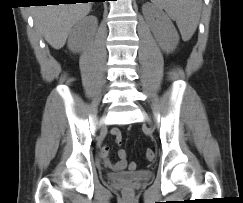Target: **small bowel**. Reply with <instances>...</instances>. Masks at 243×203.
I'll return each instance as SVG.
<instances>
[{
  "mask_svg": "<svg viewBox=\"0 0 243 203\" xmlns=\"http://www.w3.org/2000/svg\"><path fill=\"white\" fill-rule=\"evenodd\" d=\"M111 135L116 138V141L118 143H121V132H120L119 129H116V128L112 129L111 130ZM120 151L118 152V156L120 158L119 161L112 162L110 160V157H109V155H110V147L108 145H103L101 147V149H100V155H101V157H102V159H103L104 164H105L106 167H108V168H110L112 170H115V171H122V170H124L126 168V166H127V162L125 160V157L126 156H121L120 155ZM135 165H136V163H135ZM129 168L130 169H135L136 166H135V168H132L131 167V164H130L129 165Z\"/></svg>",
  "mask_w": 243,
  "mask_h": 203,
  "instance_id": "obj_1",
  "label": "small bowel"
}]
</instances>
